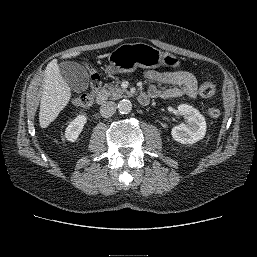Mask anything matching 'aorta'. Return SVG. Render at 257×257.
<instances>
[{
	"mask_svg": "<svg viewBox=\"0 0 257 257\" xmlns=\"http://www.w3.org/2000/svg\"><path fill=\"white\" fill-rule=\"evenodd\" d=\"M117 108L121 114H128L132 110V103L130 100L123 99L118 103Z\"/></svg>",
	"mask_w": 257,
	"mask_h": 257,
	"instance_id": "obj_1",
	"label": "aorta"
}]
</instances>
